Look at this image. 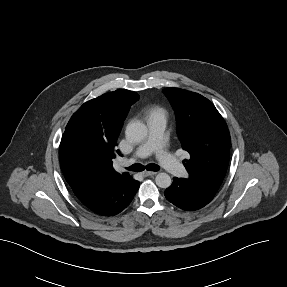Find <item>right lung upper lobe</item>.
<instances>
[{
	"mask_svg": "<svg viewBox=\"0 0 287 287\" xmlns=\"http://www.w3.org/2000/svg\"><path fill=\"white\" fill-rule=\"evenodd\" d=\"M138 99L137 93L119 89L87 101L73 114L68 124L78 130L94 154L86 167H61L73 191L129 176L128 172L119 174L113 169V159L121 155L116 149L117 138L130 106Z\"/></svg>",
	"mask_w": 287,
	"mask_h": 287,
	"instance_id": "right-lung-upper-lobe-1",
	"label": "right lung upper lobe"
}]
</instances>
